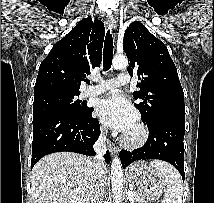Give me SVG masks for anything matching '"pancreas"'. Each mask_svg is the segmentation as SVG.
Here are the masks:
<instances>
[{
  "label": "pancreas",
  "mask_w": 214,
  "mask_h": 203,
  "mask_svg": "<svg viewBox=\"0 0 214 203\" xmlns=\"http://www.w3.org/2000/svg\"><path fill=\"white\" fill-rule=\"evenodd\" d=\"M134 196H135V194H134ZM130 203H135V199H134V197H133V200H132Z\"/></svg>",
  "instance_id": "1"
}]
</instances>
